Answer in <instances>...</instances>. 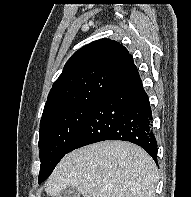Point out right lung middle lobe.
I'll use <instances>...</instances> for the list:
<instances>
[{
  "label": "right lung middle lobe",
  "instance_id": "obj_1",
  "mask_svg": "<svg viewBox=\"0 0 191 197\" xmlns=\"http://www.w3.org/2000/svg\"><path fill=\"white\" fill-rule=\"evenodd\" d=\"M95 105L96 103H89L73 106L41 119L38 143L41 161L39 184L67 153Z\"/></svg>",
  "mask_w": 191,
  "mask_h": 197
}]
</instances>
